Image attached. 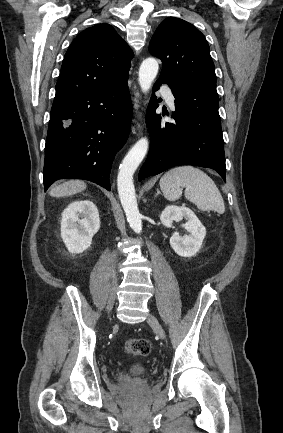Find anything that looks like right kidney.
<instances>
[{"label":"right kidney","mask_w":283,"mask_h":433,"mask_svg":"<svg viewBox=\"0 0 283 433\" xmlns=\"http://www.w3.org/2000/svg\"><path fill=\"white\" fill-rule=\"evenodd\" d=\"M100 228L99 212L89 201H74L62 213L61 237L70 253H82L90 247Z\"/></svg>","instance_id":"right-kidney-1"}]
</instances>
